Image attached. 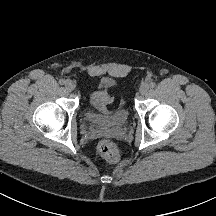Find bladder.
Instances as JSON below:
<instances>
[{"instance_id":"1","label":"bladder","mask_w":216,"mask_h":216,"mask_svg":"<svg viewBox=\"0 0 216 216\" xmlns=\"http://www.w3.org/2000/svg\"><path fill=\"white\" fill-rule=\"evenodd\" d=\"M102 84H105V82H102ZM128 117L129 111L125 105L106 116H99L89 108L85 110V118L90 123L106 128H121L127 123Z\"/></svg>"}]
</instances>
